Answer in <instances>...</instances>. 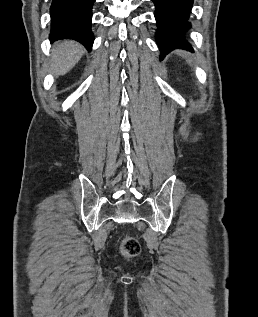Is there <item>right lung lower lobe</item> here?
Segmentation results:
<instances>
[{
    "instance_id": "98d812e1",
    "label": "right lung lower lobe",
    "mask_w": 258,
    "mask_h": 317,
    "mask_svg": "<svg viewBox=\"0 0 258 317\" xmlns=\"http://www.w3.org/2000/svg\"><path fill=\"white\" fill-rule=\"evenodd\" d=\"M95 0H52L50 41L73 39L91 51L92 5Z\"/></svg>"
}]
</instances>
